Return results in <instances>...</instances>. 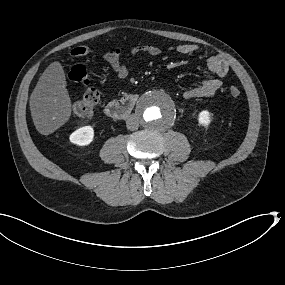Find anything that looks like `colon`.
I'll return each mask as SVG.
<instances>
[{
	"mask_svg": "<svg viewBox=\"0 0 285 285\" xmlns=\"http://www.w3.org/2000/svg\"><path fill=\"white\" fill-rule=\"evenodd\" d=\"M89 51V46L80 45L74 47L70 51V55L73 58H80L87 55ZM69 77L73 82L85 87V91L81 98L74 104V114L81 119H88L93 115L94 110L100 102V94L98 90L91 85V78L84 65L75 64L70 70ZM229 93L232 97H238L241 92L238 87L231 86Z\"/></svg>",
	"mask_w": 285,
	"mask_h": 285,
	"instance_id": "colon-1",
	"label": "colon"
}]
</instances>
